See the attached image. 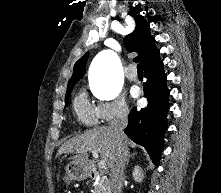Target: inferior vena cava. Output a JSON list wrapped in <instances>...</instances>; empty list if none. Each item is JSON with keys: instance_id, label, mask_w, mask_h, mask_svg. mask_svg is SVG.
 Wrapping results in <instances>:
<instances>
[{"instance_id": "602c4592", "label": "inferior vena cava", "mask_w": 221, "mask_h": 193, "mask_svg": "<svg viewBox=\"0 0 221 193\" xmlns=\"http://www.w3.org/2000/svg\"><path fill=\"white\" fill-rule=\"evenodd\" d=\"M128 110L121 109L116 118L110 123L115 135V153L109 165L110 186L112 193H121L124 168L128 155L127 145L124 143V128L128 124Z\"/></svg>"}]
</instances>
